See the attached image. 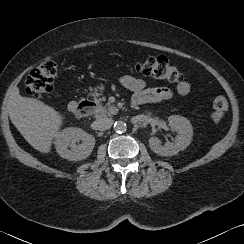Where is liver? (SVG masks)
I'll list each match as a JSON object with an SVG mask.
<instances>
[{"label":"liver","mask_w":244,"mask_h":244,"mask_svg":"<svg viewBox=\"0 0 244 244\" xmlns=\"http://www.w3.org/2000/svg\"><path fill=\"white\" fill-rule=\"evenodd\" d=\"M9 117L25 140L36 150L48 153L63 116L40 100L27 98L15 91L8 102Z\"/></svg>","instance_id":"6515ba94"}]
</instances>
